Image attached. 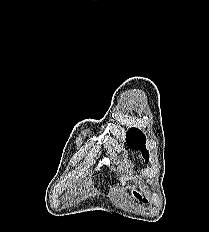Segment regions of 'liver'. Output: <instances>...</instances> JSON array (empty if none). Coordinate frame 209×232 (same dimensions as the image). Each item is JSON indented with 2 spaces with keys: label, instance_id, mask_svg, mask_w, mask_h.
I'll use <instances>...</instances> for the list:
<instances>
[{
  "label": "liver",
  "instance_id": "liver-1",
  "mask_svg": "<svg viewBox=\"0 0 209 232\" xmlns=\"http://www.w3.org/2000/svg\"><path fill=\"white\" fill-rule=\"evenodd\" d=\"M127 179H128V177H122L120 180L122 183H124Z\"/></svg>",
  "mask_w": 209,
  "mask_h": 232
}]
</instances>
